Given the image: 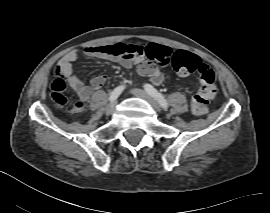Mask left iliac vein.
<instances>
[{"mask_svg":"<svg viewBox=\"0 0 270 213\" xmlns=\"http://www.w3.org/2000/svg\"><path fill=\"white\" fill-rule=\"evenodd\" d=\"M132 93L135 96L147 101L157 112L162 111V107L159 104V102L155 98H153L151 95H149L147 92H145L144 90L134 89Z\"/></svg>","mask_w":270,"mask_h":213,"instance_id":"1","label":"left iliac vein"}]
</instances>
